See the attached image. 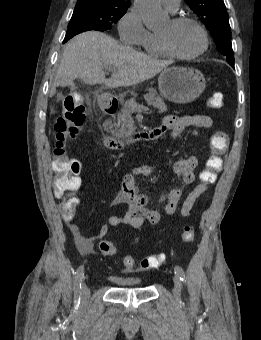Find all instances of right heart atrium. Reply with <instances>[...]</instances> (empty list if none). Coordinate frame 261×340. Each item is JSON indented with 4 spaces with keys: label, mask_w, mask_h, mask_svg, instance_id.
I'll use <instances>...</instances> for the list:
<instances>
[{
    "label": "right heart atrium",
    "mask_w": 261,
    "mask_h": 340,
    "mask_svg": "<svg viewBox=\"0 0 261 340\" xmlns=\"http://www.w3.org/2000/svg\"><path fill=\"white\" fill-rule=\"evenodd\" d=\"M118 33L124 43L140 45L149 34L135 7H130L118 21Z\"/></svg>",
    "instance_id": "d8ad5b80"
}]
</instances>
